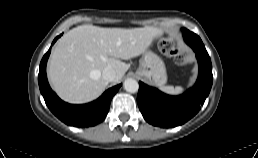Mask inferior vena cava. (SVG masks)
Segmentation results:
<instances>
[{"mask_svg": "<svg viewBox=\"0 0 258 158\" xmlns=\"http://www.w3.org/2000/svg\"><path fill=\"white\" fill-rule=\"evenodd\" d=\"M102 77L104 80H106L108 82L115 81L116 72L112 68L107 67L102 71Z\"/></svg>", "mask_w": 258, "mask_h": 158, "instance_id": "obj_1", "label": "inferior vena cava"}]
</instances>
